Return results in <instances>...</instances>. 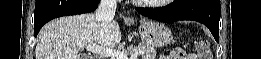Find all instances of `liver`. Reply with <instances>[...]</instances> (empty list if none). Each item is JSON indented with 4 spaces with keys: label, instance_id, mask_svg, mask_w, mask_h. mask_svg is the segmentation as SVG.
<instances>
[{
    "label": "liver",
    "instance_id": "6515ba94",
    "mask_svg": "<svg viewBox=\"0 0 261 59\" xmlns=\"http://www.w3.org/2000/svg\"><path fill=\"white\" fill-rule=\"evenodd\" d=\"M121 41L116 21L98 22L93 13L61 17L47 23L38 35L36 59H81L89 44L112 48Z\"/></svg>",
    "mask_w": 261,
    "mask_h": 59
}]
</instances>
